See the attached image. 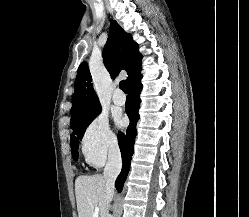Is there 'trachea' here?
Returning a JSON list of instances; mask_svg holds the SVG:
<instances>
[{
  "instance_id": "1",
  "label": "trachea",
  "mask_w": 249,
  "mask_h": 217,
  "mask_svg": "<svg viewBox=\"0 0 249 217\" xmlns=\"http://www.w3.org/2000/svg\"><path fill=\"white\" fill-rule=\"evenodd\" d=\"M119 87L124 93H128V85L126 80H122L119 84Z\"/></svg>"
}]
</instances>
